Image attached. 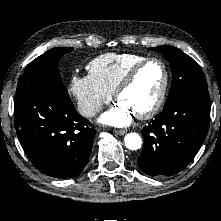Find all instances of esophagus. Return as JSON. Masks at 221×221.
Masks as SVG:
<instances>
[{"mask_svg": "<svg viewBox=\"0 0 221 221\" xmlns=\"http://www.w3.org/2000/svg\"><path fill=\"white\" fill-rule=\"evenodd\" d=\"M114 133L118 135H124L126 133V130H114Z\"/></svg>", "mask_w": 221, "mask_h": 221, "instance_id": "34e87169", "label": "esophagus"}]
</instances>
